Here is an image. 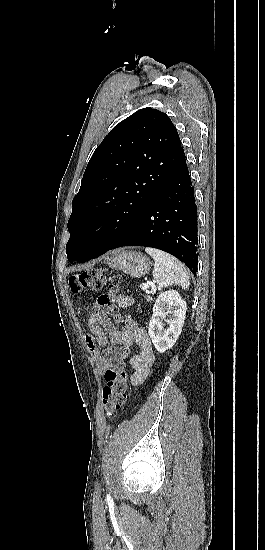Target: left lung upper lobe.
I'll return each mask as SVG.
<instances>
[{
    "label": "left lung upper lobe",
    "mask_w": 265,
    "mask_h": 550,
    "mask_svg": "<svg viewBox=\"0 0 265 550\" xmlns=\"http://www.w3.org/2000/svg\"><path fill=\"white\" fill-rule=\"evenodd\" d=\"M185 154L170 118L144 108L117 124L94 151L68 221V260L109 248L139 217Z\"/></svg>",
    "instance_id": "1"
}]
</instances>
